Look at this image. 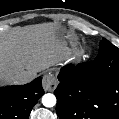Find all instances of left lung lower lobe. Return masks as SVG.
Here are the masks:
<instances>
[{
    "label": "left lung lower lobe",
    "instance_id": "1",
    "mask_svg": "<svg viewBox=\"0 0 119 119\" xmlns=\"http://www.w3.org/2000/svg\"><path fill=\"white\" fill-rule=\"evenodd\" d=\"M58 80L59 119H119V48L107 39L94 61L64 66Z\"/></svg>",
    "mask_w": 119,
    "mask_h": 119
}]
</instances>
